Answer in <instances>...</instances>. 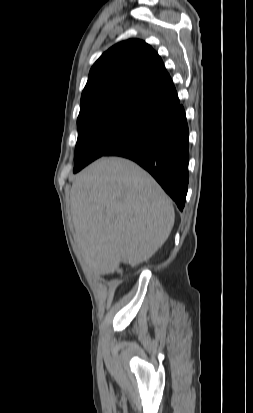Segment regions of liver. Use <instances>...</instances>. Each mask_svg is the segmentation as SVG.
<instances>
[{
    "label": "liver",
    "mask_w": 253,
    "mask_h": 413,
    "mask_svg": "<svg viewBox=\"0 0 253 413\" xmlns=\"http://www.w3.org/2000/svg\"><path fill=\"white\" fill-rule=\"evenodd\" d=\"M70 208L78 251L97 275L147 261L174 225L170 198L140 166L120 157L101 158L76 176Z\"/></svg>",
    "instance_id": "obj_1"
}]
</instances>
